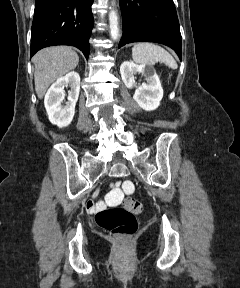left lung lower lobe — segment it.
<instances>
[{
    "mask_svg": "<svg viewBox=\"0 0 240 288\" xmlns=\"http://www.w3.org/2000/svg\"><path fill=\"white\" fill-rule=\"evenodd\" d=\"M123 36L118 48L132 42H157L181 59V34L173 0H120Z\"/></svg>",
    "mask_w": 240,
    "mask_h": 288,
    "instance_id": "1",
    "label": "left lung lower lobe"
}]
</instances>
